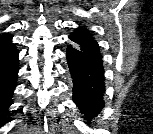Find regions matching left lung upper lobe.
Masks as SVG:
<instances>
[{
	"label": "left lung upper lobe",
	"mask_w": 153,
	"mask_h": 134,
	"mask_svg": "<svg viewBox=\"0 0 153 134\" xmlns=\"http://www.w3.org/2000/svg\"><path fill=\"white\" fill-rule=\"evenodd\" d=\"M69 38L80 46L99 51L97 42L92 38L91 34L86 28H77L73 33L70 34Z\"/></svg>",
	"instance_id": "obj_1"
}]
</instances>
